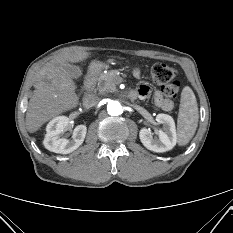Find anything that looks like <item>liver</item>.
I'll use <instances>...</instances> for the list:
<instances>
[{
	"instance_id": "obj_1",
	"label": "liver",
	"mask_w": 233,
	"mask_h": 233,
	"mask_svg": "<svg viewBox=\"0 0 233 233\" xmlns=\"http://www.w3.org/2000/svg\"><path fill=\"white\" fill-rule=\"evenodd\" d=\"M89 55L84 50L63 53L46 63L35 74V90L26 113V127L29 132L37 131L53 117L78 105L76 85L64 66L86 60Z\"/></svg>"
}]
</instances>
